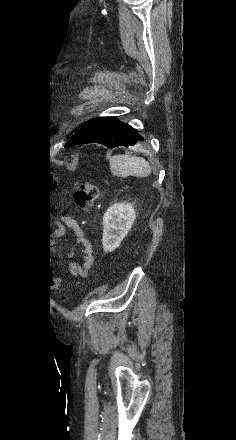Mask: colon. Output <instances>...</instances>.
<instances>
[{"instance_id": "5ec220e1", "label": "colon", "mask_w": 236, "mask_h": 440, "mask_svg": "<svg viewBox=\"0 0 236 440\" xmlns=\"http://www.w3.org/2000/svg\"><path fill=\"white\" fill-rule=\"evenodd\" d=\"M98 196L99 188L91 182H84L77 186L74 202L79 208L89 210ZM46 281L48 285H59L61 280L59 276H48Z\"/></svg>"}]
</instances>
